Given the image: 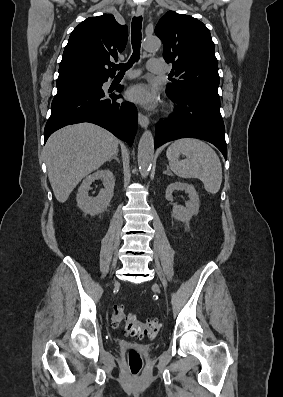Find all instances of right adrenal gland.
<instances>
[{
	"mask_svg": "<svg viewBox=\"0 0 283 397\" xmlns=\"http://www.w3.org/2000/svg\"><path fill=\"white\" fill-rule=\"evenodd\" d=\"M112 159H115L118 163L120 162V161H119V158H118V152H116V153L112 156V158H110L108 161L110 162Z\"/></svg>",
	"mask_w": 283,
	"mask_h": 397,
	"instance_id": "1",
	"label": "right adrenal gland"
}]
</instances>
